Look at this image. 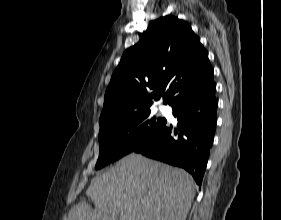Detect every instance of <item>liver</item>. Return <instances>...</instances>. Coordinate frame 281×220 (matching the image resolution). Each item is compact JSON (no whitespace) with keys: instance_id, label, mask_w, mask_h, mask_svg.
<instances>
[{"instance_id":"6515ba94","label":"liver","mask_w":281,"mask_h":220,"mask_svg":"<svg viewBox=\"0 0 281 220\" xmlns=\"http://www.w3.org/2000/svg\"><path fill=\"white\" fill-rule=\"evenodd\" d=\"M94 202L74 205L68 220H186L195 196L186 171L131 153L91 180Z\"/></svg>"}]
</instances>
